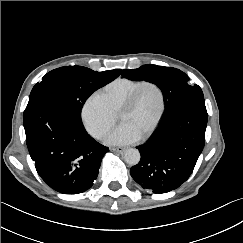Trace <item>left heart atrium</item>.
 I'll return each mask as SVG.
<instances>
[{
	"label": "left heart atrium",
	"instance_id": "obj_1",
	"mask_svg": "<svg viewBox=\"0 0 243 243\" xmlns=\"http://www.w3.org/2000/svg\"><path fill=\"white\" fill-rule=\"evenodd\" d=\"M141 134L129 124L121 123L107 137L106 142L114 145H125L137 141Z\"/></svg>",
	"mask_w": 243,
	"mask_h": 243
}]
</instances>
